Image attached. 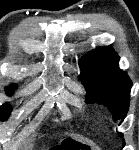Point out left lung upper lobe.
I'll list each match as a JSON object with an SVG mask.
<instances>
[{"label":"left lung upper lobe","instance_id":"obj_1","mask_svg":"<svg viewBox=\"0 0 139 150\" xmlns=\"http://www.w3.org/2000/svg\"><path fill=\"white\" fill-rule=\"evenodd\" d=\"M118 61L119 57L112 48L103 47L85 54L79 62L80 80L87 91L86 102L106 106L114 121L125 118L132 87L127 73L119 69Z\"/></svg>","mask_w":139,"mask_h":150}]
</instances>
